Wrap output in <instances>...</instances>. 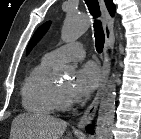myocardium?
<instances>
[{"label": "myocardium", "mask_w": 141, "mask_h": 139, "mask_svg": "<svg viewBox=\"0 0 141 139\" xmlns=\"http://www.w3.org/2000/svg\"><path fill=\"white\" fill-rule=\"evenodd\" d=\"M57 108L65 110L71 106L69 97L58 87L55 86Z\"/></svg>", "instance_id": "myocardium-1"}]
</instances>
